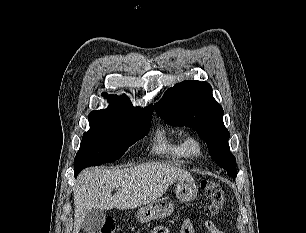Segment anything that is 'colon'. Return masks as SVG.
<instances>
[{"mask_svg":"<svg viewBox=\"0 0 306 233\" xmlns=\"http://www.w3.org/2000/svg\"><path fill=\"white\" fill-rule=\"evenodd\" d=\"M201 189L208 199L206 214L208 216L216 215L224 206L225 196L221 186L212 180H205L201 183ZM116 230V221L114 218H108L103 223L102 227L96 233H114ZM153 233H159V230H154Z\"/></svg>","mask_w":306,"mask_h":233,"instance_id":"obj_1","label":"colon"}]
</instances>
